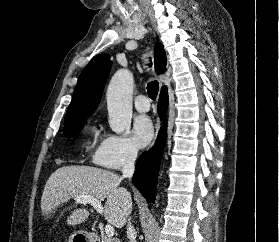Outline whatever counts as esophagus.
I'll return each instance as SVG.
<instances>
[{"instance_id": "1", "label": "esophagus", "mask_w": 279, "mask_h": 242, "mask_svg": "<svg viewBox=\"0 0 279 242\" xmlns=\"http://www.w3.org/2000/svg\"><path fill=\"white\" fill-rule=\"evenodd\" d=\"M159 128H160V120H159V118H157L156 126H155V129H156V130H155V137H154V140H153L151 146H153V144H154V142H155V139H156L157 134H158V132H159Z\"/></svg>"}]
</instances>
